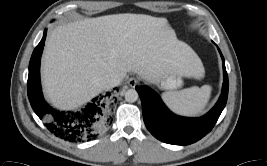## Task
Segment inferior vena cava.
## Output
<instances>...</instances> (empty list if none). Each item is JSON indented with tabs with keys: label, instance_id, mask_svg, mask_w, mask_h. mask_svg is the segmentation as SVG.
I'll return each instance as SVG.
<instances>
[{
	"label": "inferior vena cava",
	"instance_id": "602c4592",
	"mask_svg": "<svg viewBox=\"0 0 267 166\" xmlns=\"http://www.w3.org/2000/svg\"><path fill=\"white\" fill-rule=\"evenodd\" d=\"M121 82V78L115 74H108L103 78L102 85L105 88H112L119 85Z\"/></svg>",
	"mask_w": 267,
	"mask_h": 166
}]
</instances>
